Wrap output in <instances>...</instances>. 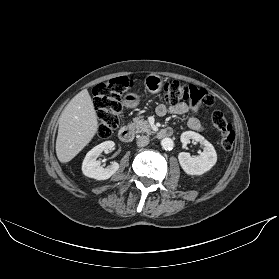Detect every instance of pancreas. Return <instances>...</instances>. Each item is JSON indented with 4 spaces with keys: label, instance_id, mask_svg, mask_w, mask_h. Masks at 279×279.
I'll return each mask as SVG.
<instances>
[{
    "label": "pancreas",
    "instance_id": "cf45deb5",
    "mask_svg": "<svg viewBox=\"0 0 279 279\" xmlns=\"http://www.w3.org/2000/svg\"><path fill=\"white\" fill-rule=\"evenodd\" d=\"M130 129L136 130V132H146L148 134L152 133V127L148 121L141 119L140 117L134 118L133 123L129 124Z\"/></svg>",
    "mask_w": 279,
    "mask_h": 279
}]
</instances>
